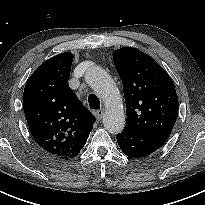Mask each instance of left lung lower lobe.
<instances>
[{
	"instance_id": "0a47b994",
	"label": "left lung lower lobe",
	"mask_w": 205,
	"mask_h": 205,
	"mask_svg": "<svg viewBox=\"0 0 205 205\" xmlns=\"http://www.w3.org/2000/svg\"><path fill=\"white\" fill-rule=\"evenodd\" d=\"M116 138L123 153L132 158L148 156L165 143L164 140L128 128H124Z\"/></svg>"
}]
</instances>
